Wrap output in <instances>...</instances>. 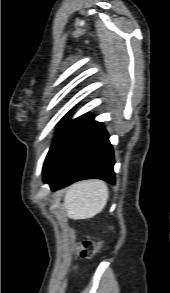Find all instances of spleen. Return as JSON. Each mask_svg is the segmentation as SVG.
Segmentation results:
<instances>
[{
  "label": "spleen",
  "mask_w": 170,
  "mask_h": 293,
  "mask_svg": "<svg viewBox=\"0 0 170 293\" xmlns=\"http://www.w3.org/2000/svg\"><path fill=\"white\" fill-rule=\"evenodd\" d=\"M108 198V187L103 181L85 180L68 188L64 208L72 219H88L103 210Z\"/></svg>",
  "instance_id": "spleen-1"
}]
</instances>
